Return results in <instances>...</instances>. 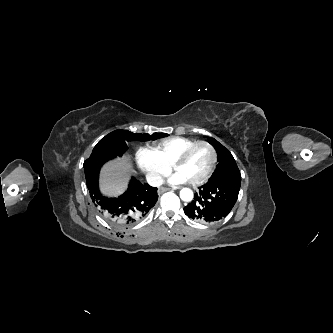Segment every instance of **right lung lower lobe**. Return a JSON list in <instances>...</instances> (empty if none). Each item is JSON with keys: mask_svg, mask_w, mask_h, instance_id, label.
<instances>
[{"mask_svg": "<svg viewBox=\"0 0 333 333\" xmlns=\"http://www.w3.org/2000/svg\"><path fill=\"white\" fill-rule=\"evenodd\" d=\"M115 156L89 157L84 162L90 197L101 215L119 227L130 226L147 215L158 199L157 188L132 178L127 191L118 198L103 196L98 188L101 166Z\"/></svg>", "mask_w": 333, "mask_h": 333, "instance_id": "right-lung-lower-lobe-1", "label": "right lung lower lobe"}]
</instances>
